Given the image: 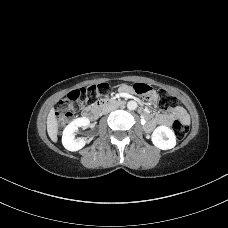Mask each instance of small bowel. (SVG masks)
Wrapping results in <instances>:
<instances>
[{
	"instance_id": "obj_1",
	"label": "small bowel",
	"mask_w": 228,
	"mask_h": 228,
	"mask_svg": "<svg viewBox=\"0 0 228 228\" xmlns=\"http://www.w3.org/2000/svg\"><path fill=\"white\" fill-rule=\"evenodd\" d=\"M121 92L123 94H128V93L132 92V89H131V87L124 85L121 87ZM151 98L155 100L156 94L153 93L151 95ZM157 117L160 120L158 124H161L164 126L170 125L172 123L173 119H175V118L181 119L182 122H184L185 124H187L189 122V116L186 113L185 109L181 106H174L169 113L162 114ZM153 128H154V126L152 128H147V129L152 130Z\"/></svg>"
}]
</instances>
